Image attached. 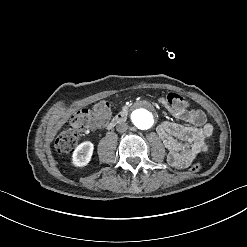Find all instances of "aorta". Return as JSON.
I'll list each match as a JSON object with an SVG mask.
<instances>
[{"label":"aorta","mask_w":247,"mask_h":247,"mask_svg":"<svg viewBox=\"0 0 247 247\" xmlns=\"http://www.w3.org/2000/svg\"><path fill=\"white\" fill-rule=\"evenodd\" d=\"M133 121L141 129H149L153 124L152 115L146 110H139V112L135 113Z\"/></svg>","instance_id":"aorta-1"}]
</instances>
